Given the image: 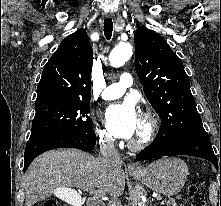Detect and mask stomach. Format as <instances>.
I'll return each mask as SVG.
<instances>
[{"label":"stomach","mask_w":221,"mask_h":206,"mask_svg":"<svg viewBox=\"0 0 221 206\" xmlns=\"http://www.w3.org/2000/svg\"><path fill=\"white\" fill-rule=\"evenodd\" d=\"M188 174L187 165L179 158H162L150 163L140 172L132 173L153 191L168 196L182 189Z\"/></svg>","instance_id":"0dacf381"}]
</instances>
